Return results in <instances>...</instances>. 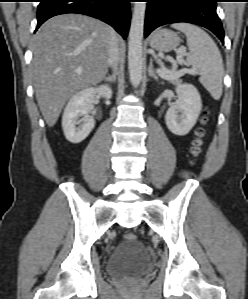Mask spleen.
<instances>
[{"label": "spleen", "instance_id": "obj_1", "mask_svg": "<svg viewBox=\"0 0 248 299\" xmlns=\"http://www.w3.org/2000/svg\"><path fill=\"white\" fill-rule=\"evenodd\" d=\"M172 28L185 33L189 53L186 61L200 74L199 81L215 100L222 95L223 60L213 39L201 28L190 23H175Z\"/></svg>", "mask_w": 248, "mask_h": 299}]
</instances>
